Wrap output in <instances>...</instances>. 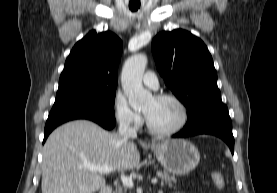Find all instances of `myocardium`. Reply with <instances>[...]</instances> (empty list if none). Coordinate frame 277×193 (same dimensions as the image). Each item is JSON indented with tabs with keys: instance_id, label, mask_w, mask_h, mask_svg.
I'll return each mask as SVG.
<instances>
[{
	"instance_id": "f54148a6",
	"label": "myocardium",
	"mask_w": 277,
	"mask_h": 193,
	"mask_svg": "<svg viewBox=\"0 0 277 193\" xmlns=\"http://www.w3.org/2000/svg\"><path fill=\"white\" fill-rule=\"evenodd\" d=\"M154 98L156 100H171V101L175 102L179 106L182 116H181L180 122L174 128L169 129V130H160V129L155 128L150 123L148 117L144 113L147 130L151 134H153L155 136H160V137H169V136L175 135L178 132H180L186 126L188 119H189V112H188V108H187L186 104L178 96H176L172 93L156 94L154 96Z\"/></svg>"
}]
</instances>
